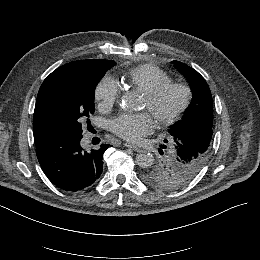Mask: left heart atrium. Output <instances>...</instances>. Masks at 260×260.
<instances>
[{
    "instance_id": "39dd6f15",
    "label": "left heart atrium",
    "mask_w": 260,
    "mask_h": 260,
    "mask_svg": "<svg viewBox=\"0 0 260 260\" xmlns=\"http://www.w3.org/2000/svg\"><path fill=\"white\" fill-rule=\"evenodd\" d=\"M154 126L150 113L145 111L138 114L122 113L112 121L111 129L119 137L137 142L150 133Z\"/></svg>"
}]
</instances>
